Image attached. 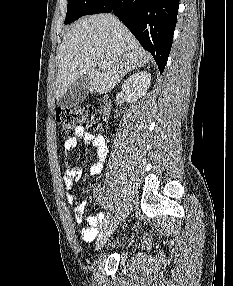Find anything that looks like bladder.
<instances>
[{
	"label": "bladder",
	"mask_w": 233,
	"mask_h": 286,
	"mask_svg": "<svg viewBox=\"0 0 233 286\" xmlns=\"http://www.w3.org/2000/svg\"><path fill=\"white\" fill-rule=\"evenodd\" d=\"M118 248H123L124 247V242L123 241H120L117 245H116ZM102 247V246H101ZM101 249V248H99Z\"/></svg>",
	"instance_id": "bladder-1"
}]
</instances>
